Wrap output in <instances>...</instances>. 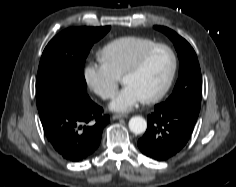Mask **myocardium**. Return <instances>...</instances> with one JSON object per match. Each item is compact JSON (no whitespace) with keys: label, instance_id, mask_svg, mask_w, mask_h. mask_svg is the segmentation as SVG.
Returning a JSON list of instances; mask_svg holds the SVG:
<instances>
[{"label":"myocardium","instance_id":"myocardium-1","mask_svg":"<svg viewBox=\"0 0 236 187\" xmlns=\"http://www.w3.org/2000/svg\"><path fill=\"white\" fill-rule=\"evenodd\" d=\"M157 49H164L169 53V55L171 57V68H170V72H169V76L167 78V81L164 84V86L161 88V90H159L154 95L143 99V102L146 104L158 102L168 93V91L172 87L173 82L175 80L176 73H177V68H178V58H177V54L174 51V49L171 46L164 44V43H154V44L150 45L149 47L145 48L143 51H141L137 55V57L134 59V61L131 63V65L126 69L124 74L122 75V79H123L127 76H131V75L136 74L142 68L147 57L153 51H155Z\"/></svg>","mask_w":236,"mask_h":187}]
</instances>
